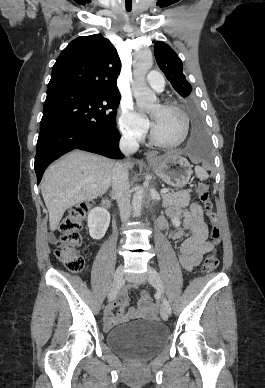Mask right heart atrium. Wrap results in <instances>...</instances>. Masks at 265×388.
I'll return each instance as SVG.
<instances>
[{"label": "right heart atrium", "instance_id": "right-heart-atrium-1", "mask_svg": "<svg viewBox=\"0 0 265 388\" xmlns=\"http://www.w3.org/2000/svg\"><path fill=\"white\" fill-rule=\"evenodd\" d=\"M121 123L125 130L136 139H142L147 134L150 123L149 121L137 112L130 100H123L120 105Z\"/></svg>", "mask_w": 265, "mask_h": 388}]
</instances>
